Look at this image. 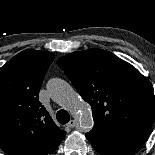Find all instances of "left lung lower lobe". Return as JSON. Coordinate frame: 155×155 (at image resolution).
<instances>
[{
  "mask_svg": "<svg viewBox=\"0 0 155 155\" xmlns=\"http://www.w3.org/2000/svg\"><path fill=\"white\" fill-rule=\"evenodd\" d=\"M150 131L151 126L91 130L86 137L102 155H134L144 145Z\"/></svg>",
  "mask_w": 155,
  "mask_h": 155,
  "instance_id": "obj_1",
  "label": "left lung lower lobe"
}]
</instances>
